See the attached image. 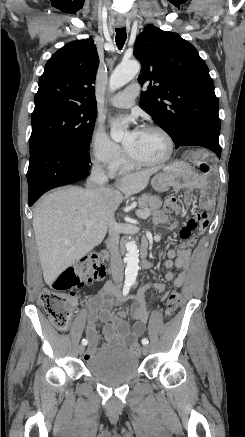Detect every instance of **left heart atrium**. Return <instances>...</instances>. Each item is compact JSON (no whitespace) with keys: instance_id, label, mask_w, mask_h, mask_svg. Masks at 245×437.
Wrapping results in <instances>:
<instances>
[{"instance_id":"obj_1","label":"left heart atrium","mask_w":245,"mask_h":437,"mask_svg":"<svg viewBox=\"0 0 245 437\" xmlns=\"http://www.w3.org/2000/svg\"><path fill=\"white\" fill-rule=\"evenodd\" d=\"M118 121L123 122V123H134V122H135V120H134L133 117H122V118H120L119 120L112 121V123H116V122H118ZM139 131H140V129H138V128H134V129L130 132V134H131L132 136H136V135L139 133Z\"/></svg>"}]
</instances>
